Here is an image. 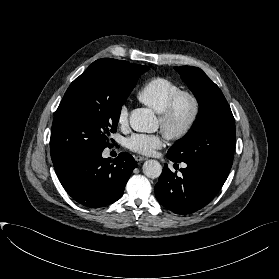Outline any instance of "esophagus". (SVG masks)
<instances>
[{
  "mask_svg": "<svg viewBox=\"0 0 279 279\" xmlns=\"http://www.w3.org/2000/svg\"><path fill=\"white\" fill-rule=\"evenodd\" d=\"M146 159H147V158L144 157V156H139V155L135 156V160H136L137 162H142V161H145Z\"/></svg>",
  "mask_w": 279,
  "mask_h": 279,
  "instance_id": "obj_1",
  "label": "esophagus"
}]
</instances>
